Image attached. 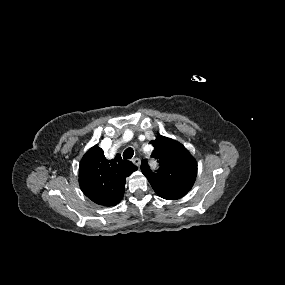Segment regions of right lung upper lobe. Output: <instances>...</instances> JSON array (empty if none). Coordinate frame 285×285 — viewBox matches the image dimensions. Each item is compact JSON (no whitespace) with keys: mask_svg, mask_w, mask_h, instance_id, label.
I'll return each mask as SVG.
<instances>
[{"mask_svg":"<svg viewBox=\"0 0 285 285\" xmlns=\"http://www.w3.org/2000/svg\"><path fill=\"white\" fill-rule=\"evenodd\" d=\"M137 167L122 160L117 154L108 160L98 145L90 148L79 165V184L83 193L93 202L103 206H114L123 198L126 177Z\"/></svg>","mask_w":285,"mask_h":285,"instance_id":"obj_1","label":"right lung upper lobe"}]
</instances>
